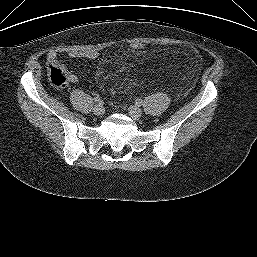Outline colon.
Instances as JSON below:
<instances>
[{
	"mask_svg": "<svg viewBox=\"0 0 257 257\" xmlns=\"http://www.w3.org/2000/svg\"><path fill=\"white\" fill-rule=\"evenodd\" d=\"M128 46L134 51H140L145 47V45L140 42H131ZM48 74L50 82L55 86L63 87L69 81L66 71L57 63L49 65Z\"/></svg>",
	"mask_w": 257,
	"mask_h": 257,
	"instance_id": "colon-1",
	"label": "colon"
}]
</instances>
